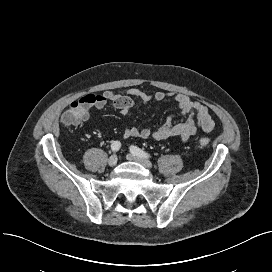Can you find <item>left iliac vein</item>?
Instances as JSON below:
<instances>
[{"label":"left iliac vein","mask_w":272,"mask_h":272,"mask_svg":"<svg viewBox=\"0 0 272 272\" xmlns=\"http://www.w3.org/2000/svg\"><path fill=\"white\" fill-rule=\"evenodd\" d=\"M127 158L131 161H135V162H138L140 163L141 165H143L144 167L148 168V169H151L152 168V163L149 161V160H146L142 157H139V156H136L134 154H128L127 155Z\"/></svg>","instance_id":"obj_1"}]
</instances>
